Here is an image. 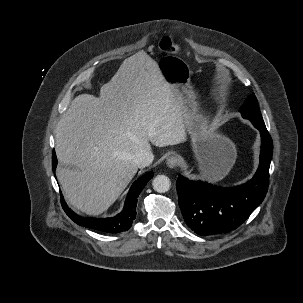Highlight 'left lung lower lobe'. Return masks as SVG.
<instances>
[{
  "mask_svg": "<svg viewBox=\"0 0 303 303\" xmlns=\"http://www.w3.org/2000/svg\"><path fill=\"white\" fill-rule=\"evenodd\" d=\"M261 134L260 163L245 184L222 188L179 176V206L185 223L198 235L226 233L239 227L264 200L269 184L273 143L266 126L251 121Z\"/></svg>",
  "mask_w": 303,
  "mask_h": 303,
  "instance_id": "1",
  "label": "left lung lower lobe"
}]
</instances>
